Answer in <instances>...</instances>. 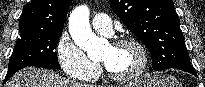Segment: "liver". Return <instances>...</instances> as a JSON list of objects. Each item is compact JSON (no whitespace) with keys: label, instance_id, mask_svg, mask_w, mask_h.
Returning <instances> with one entry per match:
<instances>
[{"label":"liver","instance_id":"obj_1","mask_svg":"<svg viewBox=\"0 0 205 87\" xmlns=\"http://www.w3.org/2000/svg\"><path fill=\"white\" fill-rule=\"evenodd\" d=\"M5 87H98L63 78L53 71L27 67L16 72Z\"/></svg>","mask_w":205,"mask_h":87}]
</instances>
